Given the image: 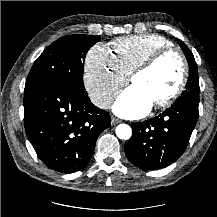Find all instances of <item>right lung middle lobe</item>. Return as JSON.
Wrapping results in <instances>:
<instances>
[{
	"label": "right lung middle lobe",
	"instance_id": "right-lung-middle-lobe-1",
	"mask_svg": "<svg viewBox=\"0 0 217 217\" xmlns=\"http://www.w3.org/2000/svg\"><path fill=\"white\" fill-rule=\"evenodd\" d=\"M99 40L100 36L75 34L53 42L34 62L25 90L51 82H62L85 91L83 62L88 50Z\"/></svg>",
	"mask_w": 217,
	"mask_h": 217
}]
</instances>
